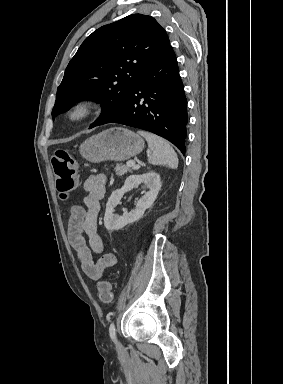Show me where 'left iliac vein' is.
Listing matches in <instances>:
<instances>
[{
	"mask_svg": "<svg viewBox=\"0 0 283 384\" xmlns=\"http://www.w3.org/2000/svg\"><path fill=\"white\" fill-rule=\"evenodd\" d=\"M116 347L119 350L122 348V344L118 340H116Z\"/></svg>",
	"mask_w": 283,
	"mask_h": 384,
	"instance_id": "1",
	"label": "left iliac vein"
}]
</instances>
